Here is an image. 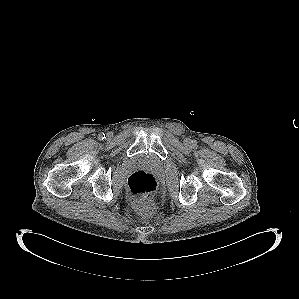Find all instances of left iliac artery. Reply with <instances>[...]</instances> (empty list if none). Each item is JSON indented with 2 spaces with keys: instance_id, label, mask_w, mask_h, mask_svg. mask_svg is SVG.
Here are the masks:
<instances>
[{
  "instance_id": "obj_1",
  "label": "left iliac artery",
  "mask_w": 299,
  "mask_h": 299,
  "mask_svg": "<svg viewBox=\"0 0 299 299\" xmlns=\"http://www.w3.org/2000/svg\"><path fill=\"white\" fill-rule=\"evenodd\" d=\"M192 145L193 146H196L197 145V142L194 140V141H192Z\"/></svg>"
}]
</instances>
